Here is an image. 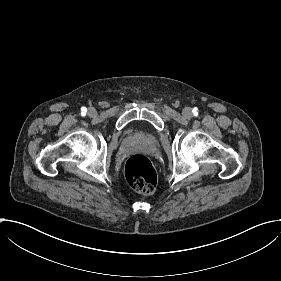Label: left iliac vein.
Here are the masks:
<instances>
[{"mask_svg": "<svg viewBox=\"0 0 281 281\" xmlns=\"http://www.w3.org/2000/svg\"><path fill=\"white\" fill-rule=\"evenodd\" d=\"M183 117L185 119H190L192 117V109L190 107H185L183 109Z\"/></svg>", "mask_w": 281, "mask_h": 281, "instance_id": "1", "label": "left iliac vein"}]
</instances>
